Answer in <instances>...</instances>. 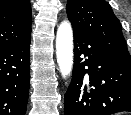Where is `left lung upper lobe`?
I'll return each mask as SVG.
<instances>
[{
  "label": "left lung upper lobe",
  "mask_w": 131,
  "mask_h": 115,
  "mask_svg": "<svg viewBox=\"0 0 131 115\" xmlns=\"http://www.w3.org/2000/svg\"><path fill=\"white\" fill-rule=\"evenodd\" d=\"M66 12L72 28L92 37L106 52L131 67L119 20L104 0H68Z\"/></svg>",
  "instance_id": "5c2ea615"
}]
</instances>
